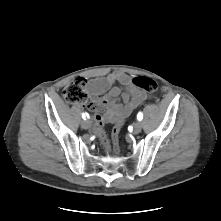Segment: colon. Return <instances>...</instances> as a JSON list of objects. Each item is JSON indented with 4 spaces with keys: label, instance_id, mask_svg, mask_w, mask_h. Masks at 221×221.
Returning a JSON list of instances; mask_svg holds the SVG:
<instances>
[{
    "label": "colon",
    "instance_id": "obj_1",
    "mask_svg": "<svg viewBox=\"0 0 221 221\" xmlns=\"http://www.w3.org/2000/svg\"><path fill=\"white\" fill-rule=\"evenodd\" d=\"M87 81L84 78H77L72 81L64 90L63 97L64 99L72 104H86L88 107H91V103L87 102ZM133 83L140 88H143L146 91L153 92L156 90V82L150 77H135L133 78ZM121 131V124H115L112 129V140L114 144V151H118V141L119 134ZM97 134L104 145L106 151L110 150L109 142L106 138L105 132L103 130V123L99 122L97 125Z\"/></svg>",
    "mask_w": 221,
    "mask_h": 221
}]
</instances>
